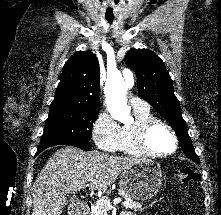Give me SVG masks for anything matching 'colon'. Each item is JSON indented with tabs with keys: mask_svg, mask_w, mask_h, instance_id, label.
Segmentation results:
<instances>
[{
	"mask_svg": "<svg viewBox=\"0 0 221 215\" xmlns=\"http://www.w3.org/2000/svg\"><path fill=\"white\" fill-rule=\"evenodd\" d=\"M178 178L184 184L194 185L198 182L199 175L195 169L187 166V167H184L180 170V172L178 174Z\"/></svg>",
	"mask_w": 221,
	"mask_h": 215,
	"instance_id": "obj_1",
	"label": "colon"
}]
</instances>
